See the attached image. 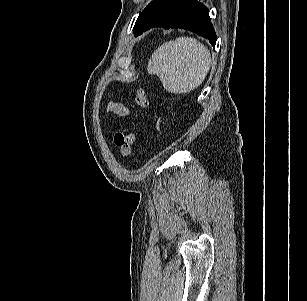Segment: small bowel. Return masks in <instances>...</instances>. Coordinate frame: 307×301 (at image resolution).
Segmentation results:
<instances>
[{
  "label": "small bowel",
  "mask_w": 307,
  "mask_h": 301,
  "mask_svg": "<svg viewBox=\"0 0 307 301\" xmlns=\"http://www.w3.org/2000/svg\"><path fill=\"white\" fill-rule=\"evenodd\" d=\"M109 112H112L118 116H127L128 109L121 103L118 102H110L107 106Z\"/></svg>",
  "instance_id": "1"
}]
</instances>
